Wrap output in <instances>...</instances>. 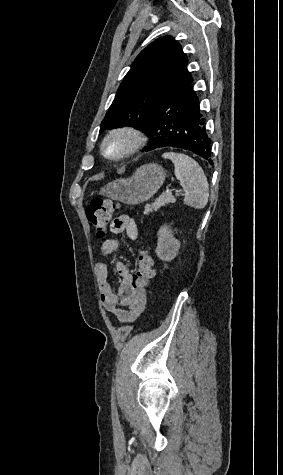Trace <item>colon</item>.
Returning <instances> with one entry per match:
<instances>
[{"label": "colon", "instance_id": "5ec220e1", "mask_svg": "<svg viewBox=\"0 0 283 475\" xmlns=\"http://www.w3.org/2000/svg\"><path fill=\"white\" fill-rule=\"evenodd\" d=\"M116 207L115 202L102 198H95L87 205L86 216L99 238L108 233L112 213ZM153 276L154 259L148 250H141L138 256L137 268L129 277L130 286L136 288L143 281L152 279Z\"/></svg>", "mask_w": 283, "mask_h": 475}]
</instances>
